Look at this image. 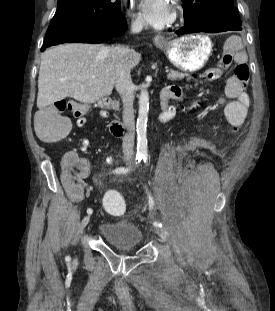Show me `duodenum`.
<instances>
[{
	"label": "duodenum",
	"mask_w": 275,
	"mask_h": 311,
	"mask_svg": "<svg viewBox=\"0 0 275 311\" xmlns=\"http://www.w3.org/2000/svg\"><path fill=\"white\" fill-rule=\"evenodd\" d=\"M167 101H168L167 97H164V96L161 97V105L166 104ZM101 107L106 108V109H113L115 107V103L111 99L105 98L101 101ZM124 131H125V127L120 121L113 120L110 123V132L114 136H121L124 134Z\"/></svg>",
	"instance_id": "duodenum-1"
}]
</instances>
